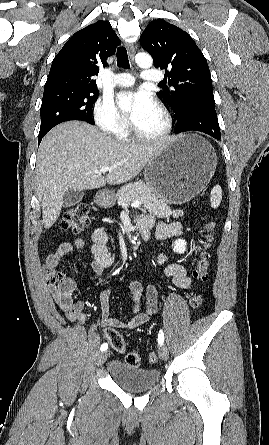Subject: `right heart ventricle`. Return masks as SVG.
<instances>
[{"label": "right heart ventricle", "instance_id": "1", "mask_svg": "<svg viewBox=\"0 0 269 445\" xmlns=\"http://www.w3.org/2000/svg\"><path fill=\"white\" fill-rule=\"evenodd\" d=\"M120 138H122V139H126V135H124V136H122V137H120Z\"/></svg>", "mask_w": 269, "mask_h": 445}]
</instances>
